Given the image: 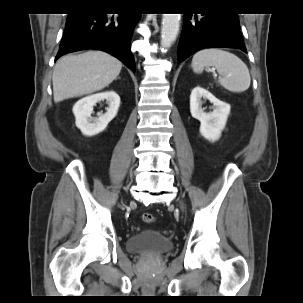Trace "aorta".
Segmentation results:
<instances>
[{
	"mask_svg": "<svg viewBox=\"0 0 303 303\" xmlns=\"http://www.w3.org/2000/svg\"><path fill=\"white\" fill-rule=\"evenodd\" d=\"M180 28V14H163L161 26V47L166 50L176 40Z\"/></svg>",
	"mask_w": 303,
	"mask_h": 303,
	"instance_id": "aorta-1",
	"label": "aorta"
}]
</instances>
